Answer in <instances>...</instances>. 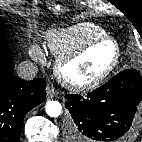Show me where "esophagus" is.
Returning <instances> with one entry per match:
<instances>
[{
    "mask_svg": "<svg viewBox=\"0 0 142 142\" xmlns=\"http://www.w3.org/2000/svg\"><path fill=\"white\" fill-rule=\"evenodd\" d=\"M46 92L49 99L54 98L56 95V91L52 87H47Z\"/></svg>",
    "mask_w": 142,
    "mask_h": 142,
    "instance_id": "obj_1",
    "label": "esophagus"
}]
</instances>
